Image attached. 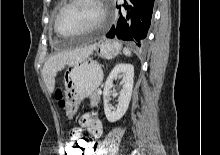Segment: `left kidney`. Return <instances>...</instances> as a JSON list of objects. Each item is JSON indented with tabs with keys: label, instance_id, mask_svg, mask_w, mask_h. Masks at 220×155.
Returning a JSON list of instances; mask_svg holds the SVG:
<instances>
[{
	"label": "left kidney",
	"instance_id": "obj_1",
	"mask_svg": "<svg viewBox=\"0 0 220 155\" xmlns=\"http://www.w3.org/2000/svg\"><path fill=\"white\" fill-rule=\"evenodd\" d=\"M117 77H123V88L120 91L118 98V104L116 108L109 105L107 99L110 90L113 88V82ZM133 78H134V67L132 64L119 63L110 72L104 87L103 99H104V112L109 122H116L120 120L126 113L133 90Z\"/></svg>",
	"mask_w": 220,
	"mask_h": 155
}]
</instances>
